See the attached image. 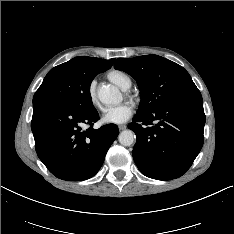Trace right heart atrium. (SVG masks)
<instances>
[{
    "label": "right heart atrium",
    "mask_w": 234,
    "mask_h": 234,
    "mask_svg": "<svg viewBox=\"0 0 234 234\" xmlns=\"http://www.w3.org/2000/svg\"><path fill=\"white\" fill-rule=\"evenodd\" d=\"M87 95H88V99L91 105L99 108L100 105H99V101H98L97 94H96V83L94 81L89 84Z\"/></svg>",
    "instance_id": "right-heart-atrium-1"
}]
</instances>
